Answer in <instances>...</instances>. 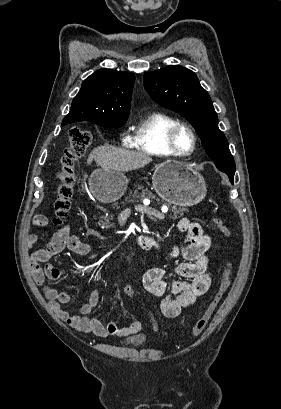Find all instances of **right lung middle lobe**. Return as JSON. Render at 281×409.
<instances>
[{
  "label": "right lung middle lobe",
  "mask_w": 281,
  "mask_h": 409,
  "mask_svg": "<svg viewBox=\"0 0 281 409\" xmlns=\"http://www.w3.org/2000/svg\"><path fill=\"white\" fill-rule=\"evenodd\" d=\"M125 122H108V123H96L97 125H100L102 127L106 128H113V127H120L124 124Z\"/></svg>",
  "instance_id": "1"
}]
</instances>
